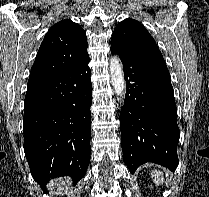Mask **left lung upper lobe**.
<instances>
[{"label":"left lung upper lobe","mask_w":209,"mask_h":197,"mask_svg":"<svg viewBox=\"0 0 209 197\" xmlns=\"http://www.w3.org/2000/svg\"><path fill=\"white\" fill-rule=\"evenodd\" d=\"M111 48L119 53L166 66L156 42L145 27L133 19H125L115 28Z\"/></svg>","instance_id":"obj_1"}]
</instances>
